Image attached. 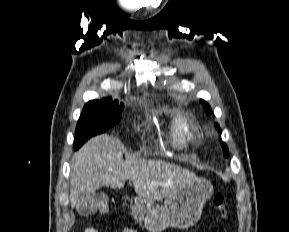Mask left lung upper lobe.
<instances>
[{
    "label": "left lung upper lobe",
    "mask_w": 289,
    "mask_h": 232,
    "mask_svg": "<svg viewBox=\"0 0 289 232\" xmlns=\"http://www.w3.org/2000/svg\"><path fill=\"white\" fill-rule=\"evenodd\" d=\"M201 103H202V105H203L206 113L210 114V113H211V108H210V106H209L204 100H201ZM215 127L217 128V130H218L219 132H221L220 127H219L218 124H215ZM221 144H222V148H223V151H224V156H225V157H228L229 154H228V148H227L226 144L223 143V142H222Z\"/></svg>",
    "instance_id": "1"
}]
</instances>
